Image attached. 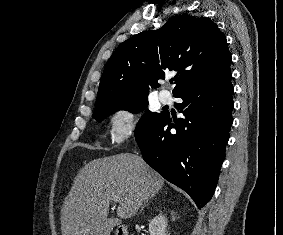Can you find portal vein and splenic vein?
I'll return each instance as SVG.
<instances>
[{
    "instance_id": "portal-vein-and-splenic-vein-1",
    "label": "portal vein and splenic vein",
    "mask_w": 283,
    "mask_h": 235,
    "mask_svg": "<svg viewBox=\"0 0 283 235\" xmlns=\"http://www.w3.org/2000/svg\"><path fill=\"white\" fill-rule=\"evenodd\" d=\"M113 201H114V202H119V197H118V196H114V197H113Z\"/></svg>"
}]
</instances>
